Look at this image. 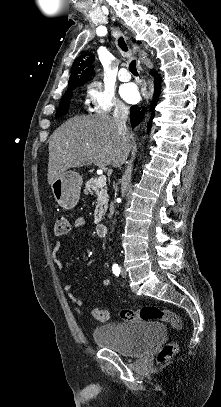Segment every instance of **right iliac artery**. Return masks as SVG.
Returning <instances> with one entry per match:
<instances>
[{"label": "right iliac artery", "mask_w": 221, "mask_h": 407, "mask_svg": "<svg viewBox=\"0 0 221 407\" xmlns=\"http://www.w3.org/2000/svg\"><path fill=\"white\" fill-rule=\"evenodd\" d=\"M112 271L116 276H119V274L121 272V269H120V267L118 265H113L112 266Z\"/></svg>", "instance_id": "82829eb1"}]
</instances>
